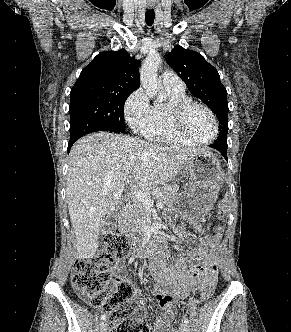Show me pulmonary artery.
Listing matches in <instances>:
<instances>
[{"label": "pulmonary artery", "mask_w": 291, "mask_h": 332, "mask_svg": "<svg viewBox=\"0 0 291 332\" xmlns=\"http://www.w3.org/2000/svg\"><path fill=\"white\" fill-rule=\"evenodd\" d=\"M161 80L164 88L166 90L174 92H183L185 91V85L182 79L175 74L173 71H165L161 75Z\"/></svg>", "instance_id": "obj_1"}]
</instances>
